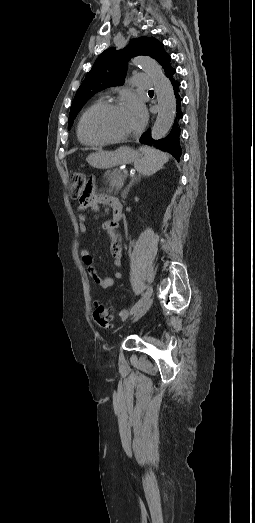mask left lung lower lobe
I'll return each instance as SVG.
<instances>
[{
	"label": "left lung lower lobe",
	"instance_id": "left-lung-lower-lobe-1",
	"mask_svg": "<svg viewBox=\"0 0 255 523\" xmlns=\"http://www.w3.org/2000/svg\"><path fill=\"white\" fill-rule=\"evenodd\" d=\"M168 81L173 85L172 91L174 94H172V97H175L174 109H176V118L172 120V128L168 129L167 137H157V139H154L153 134H151L152 130L147 128L143 131L142 137H139V140H141L140 144L142 146H148L150 149L154 147L157 149L163 148L161 152L165 154L173 153V161L180 162L182 161V156L179 154L181 152V143H179L178 140H180L181 129H179L180 125L178 123L183 119V109H181L183 97L179 95L178 91H180L181 82L175 76H170Z\"/></svg>",
	"mask_w": 255,
	"mask_h": 523
}]
</instances>
